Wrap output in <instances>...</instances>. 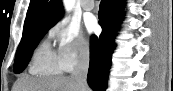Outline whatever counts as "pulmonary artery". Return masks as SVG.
<instances>
[{"label":"pulmonary artery","instance_id":"obj_1","mask_svg":"<svg viewBox=\"0 0 173 91\" xmlns=\"http://www.w3.org/2000/svg\"><path fill=\"white\" fill-rule=\"evenodd\" d=\"M81 6L84 10L90 11L94 8V1L93 0H83V1H81Z\"/></svg>","mask_w":173,"mask_h":91}]
</instances>
